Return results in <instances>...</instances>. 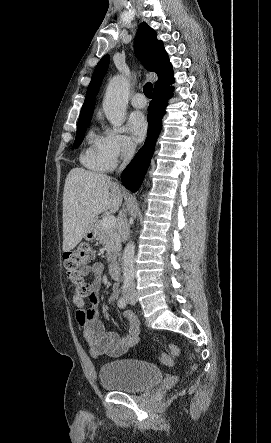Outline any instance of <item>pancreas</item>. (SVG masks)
Instances as JSON below:
<instances>
[{
  "label": "pancreas",
  "mask_w": 271,
  "mask_h": 443,
  "mask_svg": "<svg viewBox=\"0 0 271 443\" xmlns=\"http://www.w3.org/2000/svg\"><path fill=\"white\" fill-rule=\"evenodd\" d=\"M101 222L102 220H97L95 223L98 231L97 239H99L102 245H105V249L108 251L107 259L111 261L112 257H115L121 249L120 237L113 227L112 229H105Z\"/></svg>",
  "instance_id": "pancreas-1"
}]
</instances>
